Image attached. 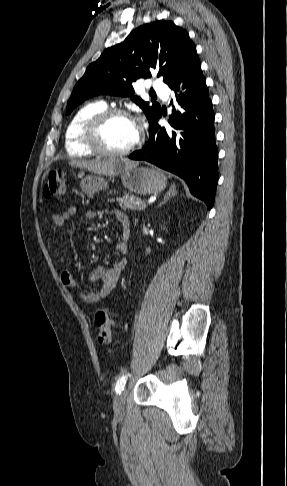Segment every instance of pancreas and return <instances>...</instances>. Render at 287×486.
<instances>
[{"label": "pancreas", "instance_id": "cf45deb5", "mask_svg": "<svg viewBox=\"0 0 287 486\" xmlns=\"http://www.w3.org/2000/svg\"><path fill=\"white\" fill-rule=\"evenodd\" d=\"M117 201L119 202L120 207L123 209H131L137 211H142L145 209L143 207L144 202L134 195L125 194L123 197L117 198Z\"/></svg>", "mask_w": 287, "mask_h": 486}]
</instances>
